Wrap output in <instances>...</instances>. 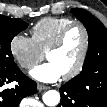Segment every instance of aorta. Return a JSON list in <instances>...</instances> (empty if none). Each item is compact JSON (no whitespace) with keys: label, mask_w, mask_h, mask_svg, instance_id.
<instances>
[{"label":"aorta","mask_w":107,"mask_h":107,"mask_svg":"<svg viewBox=\"0 0 107 107\" xmlns=\"http://www.w3.org/2000/svg\"><path fill=\"white\" fill-rule=\"evenodd\" d=\"M43 102L48 107H55L60 102V94L56 90H49L43 95Z\"/></svg>","instance_id":"obj_1"}]
</instances>
